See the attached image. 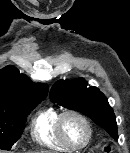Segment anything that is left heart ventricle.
I'll return each mask as SVG.
<instances>
[{"mask_svg":"<svg viewBox=\"0 0 130 153\" xmlns=\"http://www.w3.org/2000/svg\"><path fill=\"white\" fill-rule=\"evenodd\" d=\"M63 132L67 140L74 145H81L87 138V129L78 118L68 116L63 122Z\"/></svg>","mask_w":130,"mask_h":153,"instance_id":"b2bd125f","label":"left heart ventricle"}]
</instances>
